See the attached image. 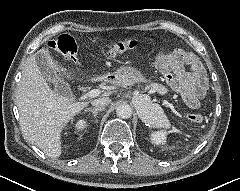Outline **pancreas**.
<instances>
[{
	"mask_svg": "<svg viewBox=\"0 0 240 191\" xmlns=\"http://www.w3.org/2000/svg\"><path fill=\"white\" fill-rule=\"evenodd\" d=\"M146 89H151L152 91L158 92L160 94H165L167 93V88L159 83H149L146 86Z\"/></svg>",
	"mask_w": 240,
	"mask_h": 191,
	"instance_id": "obj_1",
	"label": "pancreas"
}]
</instances>
